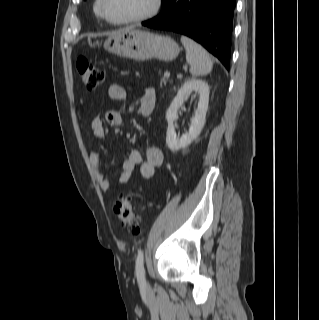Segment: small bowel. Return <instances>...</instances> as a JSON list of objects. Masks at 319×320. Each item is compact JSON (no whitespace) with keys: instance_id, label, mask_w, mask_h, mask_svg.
I'll return each instance as SVG.
<instances>
[{"instance_id":"small-bowel-1","label":"small bowel","mask_w":319,"mask_h":320,"mask_svg":"<svg viewBox=\"0 0 319 320\" xmlns=\"http://www.w3.org/2000/svg\"><path fill=\"white\" fill-rule=\"evenodd\" d=\"M126 95L127 91L121 85L113 84L108 89V96L114 103L123 102L126 99ZM155 101L156 94L154 89H144V92L140 98L137 114L141 117L150 116L154 109ZM104 119L105 122L112 127L121 126L123 121L121 113L114 108H111L105 112ZM91 128L95 137L99 139H104L106 137L104 121L100 117H95L92 120ZM162 162V152L154 145L147 149L145 158L139 150H132L122 163L121 171L118 174V184L126 185L131 178V174L137 167L139 168L141 177L151 178L154 175L155 170L161 166ZM90 163L93 167L95 179L99 187L103 191L109 190L111 184L101 168V153L96 151L92 152L90 154Z\"/></svg>"}]
</instances>
